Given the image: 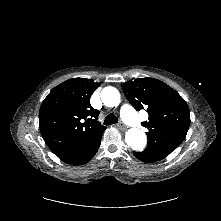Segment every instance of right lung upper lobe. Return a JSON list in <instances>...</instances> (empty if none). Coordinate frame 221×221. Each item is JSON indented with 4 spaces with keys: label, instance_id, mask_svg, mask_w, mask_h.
<instances>
[{
    "label": "right lung upper lobe",
    "instance_id": "obj_1",
    "mask_svg": "<svg viewBox=\"0 0 221 221\" xmlns=\"http://www.w3.org/2000/svg\"><path fill=\"white\" fill-rule=\"evenodd\" d=\"M99 85L91 79L72 78L52 89L42 102L40 131L47 146L59 158L106 129L97 121L99 110L90 104V97Z\"/></svg>",
    "mask_w": 221,
    "mask_h": 221
}]
</instances>
